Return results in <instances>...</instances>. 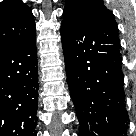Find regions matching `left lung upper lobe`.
Returning <instances> with one entry per match:
<instances>
[{"label": "left lung upper lobe", "instance_id": "left-lung-upper-lobe-1", "mask_svg": "<svg viewBox=\"0 0 136 136\" xmlns=\"http://www.w3.org/2000/svg\"><path fill=\"white\" fill-rule=\"evenodd\" d=\"M63 22L76 24L105 23L117 27L113 14L101 0H67Z\"/></svg>", "mask_w": 136, "mask_h": 136}]
</instances>
